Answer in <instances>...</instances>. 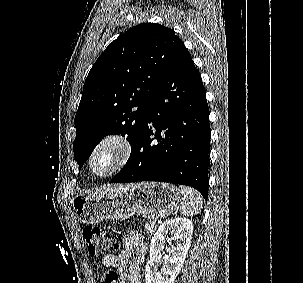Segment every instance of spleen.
Instances as JSON below:
<instances>
[{"mask_svg": "<svg viewBox=\"0 0 303 283\" xmlns=\"http://www.w3.org/2000/svg\"><path fill=\"white\" fill-rule=\"evenodd\" d=\"M180 192L182 195V204L179 206L180 213L184 216L198 214L203 205L200 194L186 186H180Z\"/></svg>", "mask_w": 303, "mask_h": 283, "instance_id": "spleen-1", "label": "spleen"}]
</instances>
